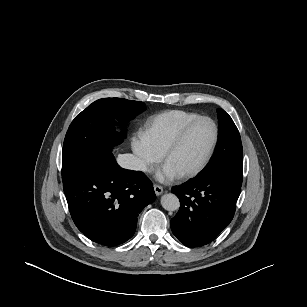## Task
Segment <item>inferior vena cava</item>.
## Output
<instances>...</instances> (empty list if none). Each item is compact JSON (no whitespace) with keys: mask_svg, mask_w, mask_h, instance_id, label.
I'll list each match as a JSON object with an SVG mask.
<instances>
[{"mask_svg":"<svg viewBox=\"0 0 307 307\" xmlns=\"http://www.w3.org/2000/svg\"><path fill=\"white\" fill-rule=\"evenodd\" d=\"M119 165L125 169L146 171V163L133 154H123L117 158Z\"/></svg>","mask_w":307,"mask_h":307,"instance_id":"inferior-vena-cava-1","label":"inferior vena cava"}]
</instances>
